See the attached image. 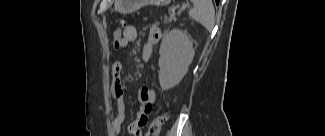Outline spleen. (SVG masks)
Returning a JSON list of instances; mask_svg holds the SVG:
<instances>
[{
    "label": "spleen",
    "mask_w": 325,
    "mask_h": 136,
    "mask_svg": "<svg viewBox=\"0 0 325 136\" xmlns=\"http://www.w3.org/2000/svg\"><path fill=\"white\" fill-rule=\"evenodd\" d=\"M189 16L211 31L215 24V11L211 0H194Z\"/></svg>",
    "instance_id": "obj_1"
}]
</instances>
